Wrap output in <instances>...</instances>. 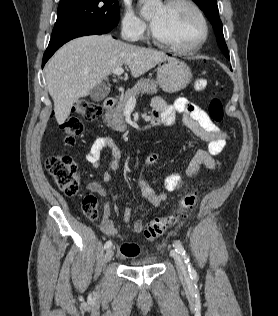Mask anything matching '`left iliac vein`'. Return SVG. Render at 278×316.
Segmentation results:
<instances>
[{"label":"left iliac vein","instance_id":"left-iliac-vein-1","mask_svg":"<svg viewBox=\"0 0 278 316\" xmlns=\"http://www.w3.org/2000/svg\"><path fill=\"white\" fill-rule=\"evenodd\" d=\"M171 255L175 261L179 275L182 277H187V275H188L187 269H186V266H185V264L180 256V254L177 253L176 251H172Z\"/></svg>","mask_w":278,"mask_h":316}]
</instances>
